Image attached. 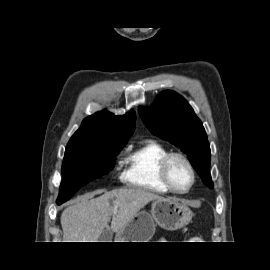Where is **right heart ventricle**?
Masks as SVG:
<instances>
[{
  "label": "right heart ventricle",
  "instance_id": "e07e8e85",
  "mask_svg": "<svg viewBox=\"0 0 270 270\" xmlns=\"http://www.w3.org/2000/svg\"><path fill=\"white\" fill-rule=\"evenodd\" d=\"M167 154L169 151L154 140H148L130 150L124 160V183L156 194L170 192L160 176V164Z\"/></svg>",
  "mask_w": 270,
  "mask_h": 270
}]
</instances>
